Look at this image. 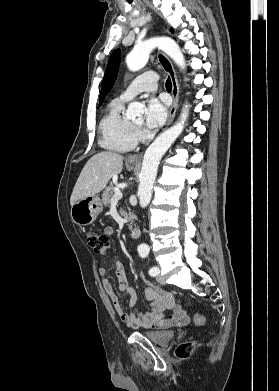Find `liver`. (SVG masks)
Segmentation results:
<instances>
[{"mask_svg": "<svg viewBox=\"0 0 279 391\" xmlns=\"http://www.w3.org/2000/svg\"><path fill=\"white\" fill-rule=\"evenodd\" d=\"M123 156L114 152L103 151L92 156L82 169L74 186L70 204L95 196L101 192L114 176L123 169Z\"/></svg>", "mask_w": 279, "mask_h": 391, "instance_id": "6515ba94", "label": "liver"}]
</instances>
